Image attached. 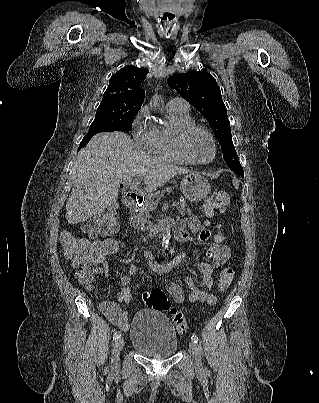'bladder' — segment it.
Listing matches in <instances>:
<instances>
[{"label": "bladder", "mask_w": 319, "mask_h": 403, "mask_svg": "<svg viewBox=\"0 0 319 403\" xmlns=\"http://www.w3.org/2000/svg\"><path fill=\"white\" fill-rule=\"evenodd\" d=\"M130 344L141 356L163 359L176 353L179 340L168 316L156 310L141 309L130 324Z\"/></svg>", "instance_id": "bladder-1"}]
</instances>
